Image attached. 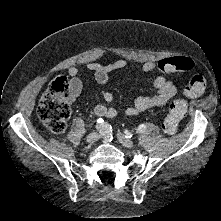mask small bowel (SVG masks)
Wrapping results in <instances>:
<instances>
[{"instance_id":"1","label":"small bowel","mask_w":221,"mask_h":221,"mask_svg":"<svg viewBox=\"0 0 221 221\" xmlns=\"http://www.w3.org/2000/svg\"><path fill=\"white\" fill-rule=\"evenodd\" d=\"M128 65V60L120 59L110 64L100 63H87L86 68L93 72L95 80L99 84H105L108 81L109 74L113 71L122 69ZM157 68L155 61H145L141 65V72L148 73ZM68 75L71 77V84L78 94L82 88V82L79 78V70L76 67H69L67 70ZM153 88L155 94L151 96H139L134 100L133 105L125 110L127 116H135L144 112L152 107L162 106L168 103L176 94L175 85L168 80L163 74H159L153 81ZM103 102L94 107V113L97 116L114 118L117 115V109L109 104L113 101V95L108 91L101 93Z\"/></svg>"}]
</instances>
